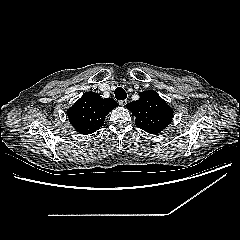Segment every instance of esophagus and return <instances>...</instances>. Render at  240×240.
Returning <instances> with one entry per match:
<instances>
[{"label":"esophagus","mask_w":240,"mask_h":240,"mask_svg":"<svg viewBox=\"0 0 240 240\" xmlns=\"http://www.w3.org/2000/svg\"><path fill=\"white\" fill-rule=\"evenodd\" d=\"M119 104H120L121 106H125V105L127 104V100H120V101H119Z\"/></svg>","instance_id":"obj_1"}]
</instances>
